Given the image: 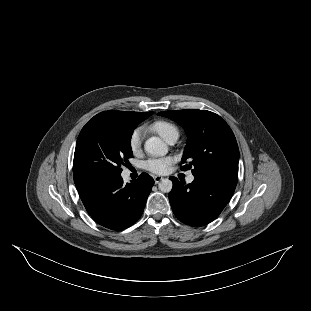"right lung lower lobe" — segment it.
<instances>
[{"instance_id": "1", "label": "right lung lower lobe", "mask_w": 311, "mask_h": 311, "mask_svg": "<svg viewBox=\"0 0 311 311\" xmlns=\"http://www.w3.org/2000/svg\"><path fill=\"white\" fill-rule=\"evenodd\" d=\"M154 180L142 173L136 181L123 184L121 176L85 180L76 185L90 216L100 225L123 230L142 215Z\"/></svg>"}]
</instances>
